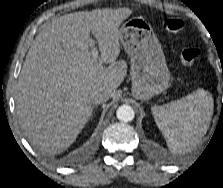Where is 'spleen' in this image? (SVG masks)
I'll return each instance as SVG.
<instances>
[{"label":"spleen","instance_id":"spleen-1","mask_svg":"<svg viewBox=\"0 0 223 188\" xmlns=\"http://www.w3.org/2000/svg\"><path fill=\"white\" fill-rule=\"evenodd\" d=\"M155 122L173 152L189 151L206 134L213 113V98L197 89L182 99L151 108Z\"/></svg>","mask_w":223,"mask_h":188}]
</instances>
